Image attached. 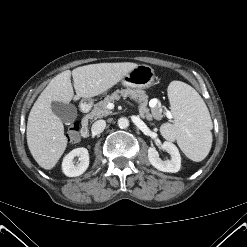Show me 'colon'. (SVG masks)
Segmentation results:
<instances>
[{
	"mask_svg": "<svg viewBox=\"0 0 247 247\" xmlns=\"http://www.w3.org/2000/svg\"><path fill=\"white\" fill-rule=\"evenodd\" d=\"M66 137L69 143H77L80 140L79 122H75L68 128Z\"/></svg>",
	"mask_w": 247,
	"mask_h": 247,
	"instance_id": "5ec220e1",
	"label": "colon"
}]
</instances>
